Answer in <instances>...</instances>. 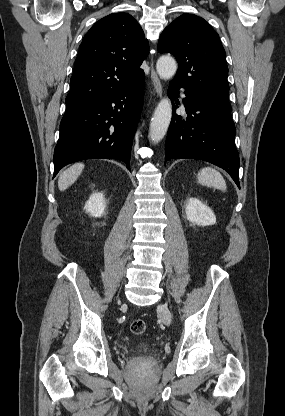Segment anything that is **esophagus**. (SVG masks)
Instances as JSON below:
<instances>
[{
	"label": "esophagus",
	"instance_id": "1",
	"mask_svg": "<svg viewBox=\"0 0 285 416\" xmlns=\"http://www.w3.org/2000/svg\"><path fill=\"white\" fill-rule=\"evenodd\" d=\"M150 80L153 84L154 90L157 93V95L159 97H161L162 95V86H161V82L160 79L158 78L157 73L154 70V63L153 61H151V75H150Z\"/></svg>",
	"mask_w": 285,
	"mask_h": 416
}]
</instances>
